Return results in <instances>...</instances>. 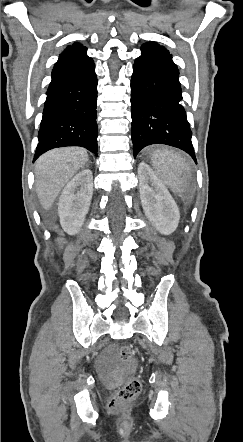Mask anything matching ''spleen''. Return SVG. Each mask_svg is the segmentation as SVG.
I'll use <instances>...</instances> for the list:
<instances>
[{"instance_id": "obj_1", "label": "spleen", "mask_w": 243, "mask_h": 442, "mask_svg": "<svg viewBox=\"0 0 243 442\" xmlns=\"http://www.w3.org/2000/svg\"><path fill=\"white\" fill-rule=\"evenodd\" d=\"M152 166L160 181L171 190H178L184 183L189 164L181 155L166 149L157 150L152 154Z\"/></svg>"}]
</instances>
